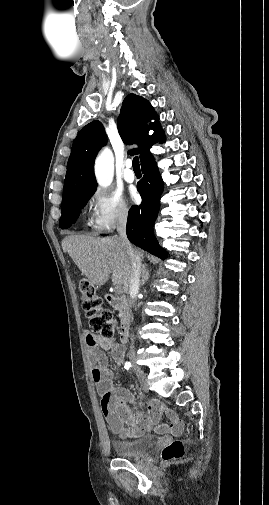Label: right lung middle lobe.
Returning a JSON list of instances; mask_svg holds the SVG:
<instances>
[{"mask_svg":"<svg viewBox=\"0 0 269 505\" xmlns=\"http://www.w3.org/2000/svg\"><path fill=\"white\" fill-rule=\"evenodd\" d=\"M94 191L95 189L81 192L62 202V216L59 223L60 228L67 229L76 221L81 208L85 206Z\"/></svg>","mask_w":269,"mask_h":505,"instance_id":"obj_1","label":"right lung middle lobe"}]
</instances>
